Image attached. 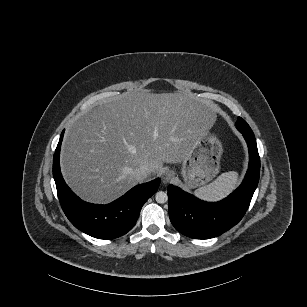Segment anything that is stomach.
<instances>
[{"instance_id": "stomach-1", "label": "stomach", "mask_w": 307, "mask_h": 307, "mask_svg": "<svg viewBox=\"0 0 307 307\" xmlns=\"http://www.w3.org/2000/svg\"><path fill=\"white\" fill-rule=\"evenodd\" d=\"M222 153L223 146L216 135L202 134L182 163V175L187 187L195 188L211 181L219 172Z\"/></svg>"}]
</instances>
